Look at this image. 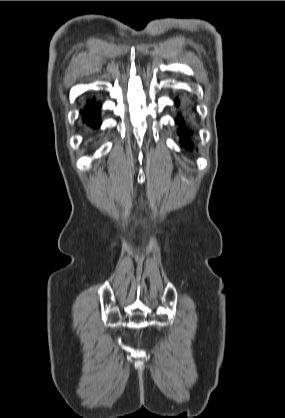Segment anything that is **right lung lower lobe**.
I'll use <instances>...</instances> for the list:
<instances>
[{
	"label": "right lung lower lobe",
	"instance_id": "1",
	"mask_svg": "<svg viewBox=\"0 0 285 418\" xmlns=\"http://www.w3.org/2000/svg\"><path fill=\"white\" fill-rule=\"evenodd\" d=\"M101 104L94 97L86 100L84 107L80 111L82 122L92 128L96 129L101 124L100 118Z\"/></svg>",
	"mask_w": 285,
	"mask_h": 418
}]
</instances>
